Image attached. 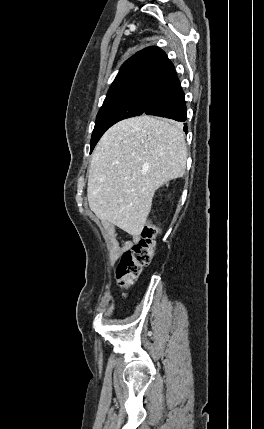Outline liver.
<instances>
[{
	"mask_svg": "<svg viewBox=\"0 0 264 429\" xmlns=\"http://www.w3.org/2000/svg\"><path fill=\"white\" fill-rule=\"evenodd\" d=\"M187 149L176 122L142 115L122 120L98 142L89 169L90 209L133 236H139L155 191L180 178Z\"/></svg>",
	"mask_w": 264,
	"mask_h": 429,
	"instance_id": "liver-1",
	"label": "liver"
}]
</instances>
